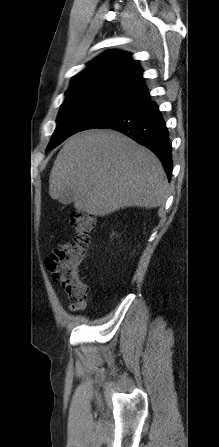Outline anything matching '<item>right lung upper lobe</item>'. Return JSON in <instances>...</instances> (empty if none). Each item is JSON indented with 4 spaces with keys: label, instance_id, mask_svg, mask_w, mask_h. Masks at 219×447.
Instances as JSON below:
<instances>
[{
    "label": "right lung upper lobe",
    "instance_id": "right-lung-upper-lobe-1",
    "mask_svg": "<svg viewBox=\"0 0 219 447\" xmlns=\"http://www.w3.org/2000/svg\"><path fill=\"white\" fill-rule=\"evenodd\" d=\"M110 87L142 102L149 100V93L136 60L130 54L120 51L107 52L74 76L71 87Z\"/></svg>",
    "mask_w": 219,
    "mask_h": 447
}]
</instances>
